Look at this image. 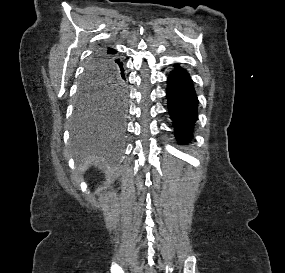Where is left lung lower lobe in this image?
<instances>
[{
  "mask_svg": "<svg viewBox=\"0 0 285 273\" xmlns=\"http://www.w3.org/2000/svg\"><path fill=\"white\" fill-rule=\"evenodd\" d=\"M168 109L174 121L175 134L181 143L188 142L197 119V96L187 72L179 66L168 78Z\"/></svg>",
  "mask_w": 285,
  "mask_h": 273,
  "instance_id": "0a47b994",
  "label": "left lung lower lobe"
}]
</instances>
